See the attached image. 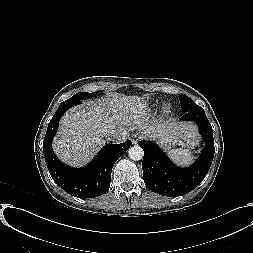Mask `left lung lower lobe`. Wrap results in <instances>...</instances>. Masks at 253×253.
I'll use <instances>...</instances> for the list:
<instances>
[{"label": "left lung lower lobe", "mask_w": 253, "mask_h": 253, "mask_svg": "<svg viewBox=\"0 0 253 253\" xmlns=\"http://www.w3.org/2000/svg\"><path fill=\"white\" fill-rule=\"evenodd\" d=\"M180 119L196 122L205 141L200 157L190 168L175 166L156 144L145 140L138 142L144 150L142 169L145 185L163 196H182L196 188L208 173L214 157L213 131L204 110L185 112Z\"/></svg>", "instance_id": "left-lung-lower-lobe-1"}]
</instances>
